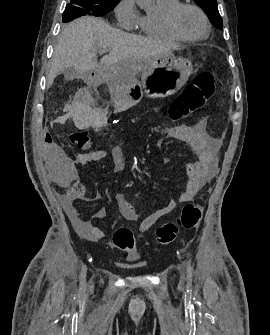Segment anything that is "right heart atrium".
Masks as SVG:
<instances>
[{"instance_id":"obj_1","label":"right heart atrium","mask_w":270,"mask_h":335,"mask_svg":"<svg viewBox=\"0 0 270 335\" xmlns=\"http://www.w3.org/2000/svg\"><path fill=\"white\" fill-rule=\"evenodd\" d=\"M116 18L124 29L135 27L139 18L136 0H120L116 7Z\"/></svg>"}]
</instances>
